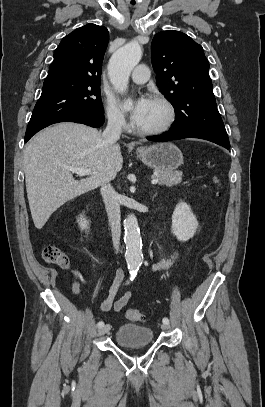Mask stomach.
Here are the masks:
<instances>
[{"mask_svg":"<svg viewBox=\"0 0 265 407\" xmlns=\"http://www.w3.org/2000/svg\"><path fill=\"white\" fill-rule=\"evenodd\" d=\"M136 153L145 165L157 171H173L183 163L181 151L169 142L140 147Z\"/></svg>","mask_w":265,"mask_h":407,"instance_id":"obj_1","label":"stomach"}]
</instances>
